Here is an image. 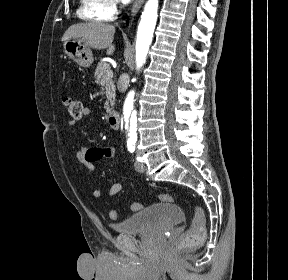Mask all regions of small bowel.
Returning a JSON list of instances; mask_svg holds the SVG:
<instances>
[{
  "instance_id": "1",
  "label": "small bowel",
  "mask_w": 288,
  "mask_h": 280,
  "mask_svg": "<svg viewBox=\"0 0 288 280\" xmlns=\"http://www.w3.org/2000/svg\"><path fill=\"white\" fill-rule=\"evenodd\" d=\"M92 115V111L88 107L83 108V116L89 117ZM76 120H70L68 124L70 126L76 125ZM118 150L114 147H81L76 156L78 160L90 171L93 172L95 169L94 163L101 159H111L116 157ZM123 189L121 183H114L111 185L110 189L107 192L108 197H113L120 193ZM91 193L94 197L98 198L102 195V191L99 188H92Z\"/></svg>"
}]
</instances>
